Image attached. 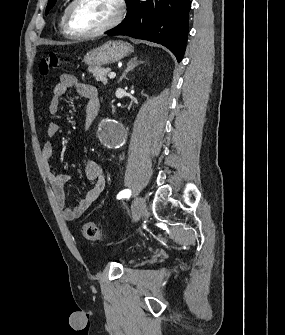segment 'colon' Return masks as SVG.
<instances>
[{"instance_id":"colon-1","label":"colon","mask_w":285,"mask_h":335,"mask_svg":"<svg viewBox=\"0 0 285 335\" xmlns=\"http://www.w3.org/2000/svg\"><path fill=\"white\" fill-rule=\"evenodd\" d=\"M63 61L61 57L55 53L51 52L47 54L44 58H42L39 70L41 75L47 76L52 71L57 70L61 67ZM83 236L91 241H96L101 238V231L99 227L93 222H87L82 227Z\"/></svg>"}]
</instances>
